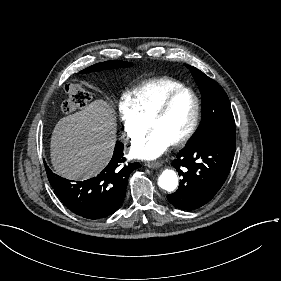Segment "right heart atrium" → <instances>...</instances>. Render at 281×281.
<instances>
[{
    "instance_id": "1",
    "label": "right heart atrium",
    "mask_w": 281,
    "mask_h": 281,
    "mask_svg": "<svg viewBox=\"0 0 281 281\" xmlns=\"http://www.w3.org/2000/svg\"><path fill=\"white\" fill-rule=\"evenodd\" d=\"M119 120L123 129L122 139L131 145L137 143L145 133L143 123L126 98L118 103Z\"/></svg>"
}]
</instances>
